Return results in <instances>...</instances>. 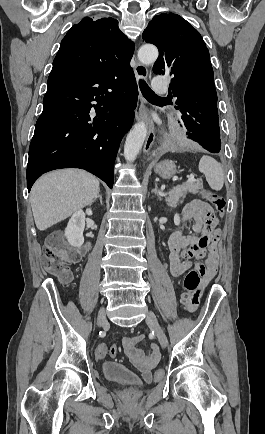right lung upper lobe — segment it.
<instances>
[{"mask_svg":"<svg viewBox=\"0 0 265 434\" xmlns=\"http://www.w3.org/2000/svg\"><path fill=\"white\" fill-rule=\"evenodd\" d=\"M134 44L112 17H85L63 38L52 69L99 71L130 61Z\"/></svg>","mask_w":265,"mask_h":434,"instance_id":"cb5924a9","label":"right lung upper lobe"}]
</instances>
